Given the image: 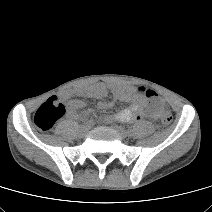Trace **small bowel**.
Segmentation results:
<instances>
[{
  "instance_id": "1",
  "label": "small bowel",
  "mask_w": 212,
  "mask_h": 212,
  "mask_svg": "<svg viewBox=\"0 0 212 212\" xmlns=\"http://www.w3.org/2000/svg\"><path fill=\"white\" fill-rule=\"evenodd\" d=\"M109 93L113 96V101L99 102L98 107L100 109H110L114 105L115 101H122L128 104L126 108L120 110L114 115L113 119L116 121L134 122L143 119L145 116L157 118L162 112V104L155 109H149L146 98L129 87L120 85L107 86L103 82H98L96 84L80 88L76 92L75 96H70V94L64 95V99L68 106L67 117L71 120L87 119L92 112L91 109L88 108L81 113L78 112L86 106L83 98L104 99ZM110 119L111 118L109 117L106 118L107 121Z\"/></svg>"
}]
</instances>
